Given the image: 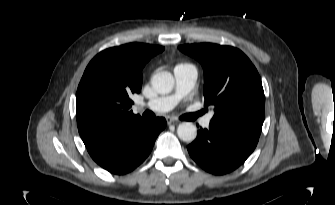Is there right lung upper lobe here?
<instances>
[{
  "instance_id": "obj_1",
  "label": "right lung upper lobe",
  "mask_w": 335,
  "mask_h": 205,
  "mask_svg": "<svg viewBox=\"0 0 335 205\" xmlns=\"http://www.w3.org/2000/svg\"><path fill=\"white\" fill-rule=\"evenodd\" d=\"M164 47L129 43L97 54L85 69L76 94L79 134L85 146L115 141L146 120L133 114L131 96L142 86V69Z\"/></svg>"
}]
</instances>
